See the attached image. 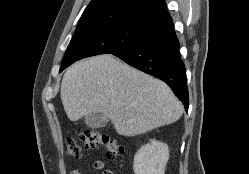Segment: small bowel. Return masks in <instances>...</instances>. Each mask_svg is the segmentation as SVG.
<instances>
[{
	"label": "small bowel",
	"mask_w": 249,
	"mask_h": 174,
	"mask_svg": "<svg viewBox=\"0 0 249 174\" xmlns=\"http://www.w3.org/2000/svg\"><path fill=\"white\" fill-rule=\"evenodd\" d=\"M105 167V163L102 160H96L92 163L91 169L101 171ZM71 174H83V171L79 168H75L71 171ZM102 174H114L111 170H103Z\"/></svg>",
	"instance_id": "obj_1"
}]
</instances>
